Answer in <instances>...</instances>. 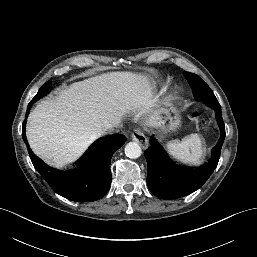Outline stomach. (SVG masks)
<instances>
[{"mask_svg":"<svg viewBox=\"0 0 257 257\" xmlns=\"http://www.w3.org/2000/svg\"><path fill=\"white\" fill-rule=\"evenodd\" d=\"M181 126L179 111L172 104H165L159 111L157 128L160 132H175Z\"/></svg>","mask_w":257,"mask_h":257,"instance_id":"1","label":"stomach"}]
</instances>
